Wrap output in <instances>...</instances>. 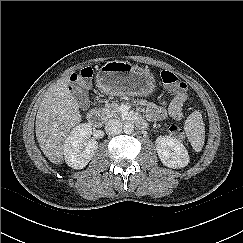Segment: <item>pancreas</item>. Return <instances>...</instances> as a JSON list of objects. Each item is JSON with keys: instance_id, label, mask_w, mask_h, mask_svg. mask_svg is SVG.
Here are the masks:
<instances>
[{"instance_id": "pancreas-1", "label": "pancreas", "mask_w": 243, "mask_h": 243, "mask_svg": "<svg viewBox=\"0 0 243 243\" xmlns=\"http://www.w3.org/2000/svg\"><path fill=\"white\" fill-rule=\"evenodd\" d=\"M101 111L105 119L118 117L121 114L120 106L117 103L107 104Z\"/></svg>"}]
</instances>
